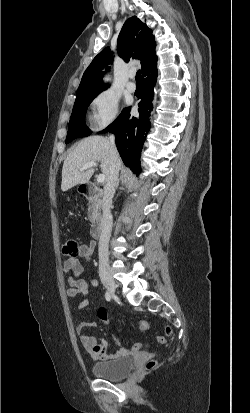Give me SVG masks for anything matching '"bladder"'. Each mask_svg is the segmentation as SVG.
<instances>
[{
    "label": "bladder",
    "mask_w": 250,
    "mask_h": 413,
    "mask_svg": "<svg viewBox=\"0 0 250 413\" xmlns=\"http://www.w3.org/2000/svg\"><path fill=\"white\" fill-rule=\"evenodd\" d=\"M134 363L132 356L121 355L112 360L95 363L92 372L98 378L117 380L127 376L134 368Z\"/></svg>",
    "instance_id": "1"
}]
</instances>
